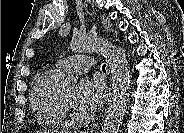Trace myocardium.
<instances>
[{"mask_svg": "<svg viewBox=\"0 0 184 133\" xmlns=\"http://www.w3.org/2000/svg\"><path fill=\"white\" fill-rule=\"evenodd\" d=\"M59 99H60V103H61V106H62V109L64 110V112L68 115H70L71 117H75V113H74V110L73 108L68 104V102L64 99L62 93L60 92V96H59Z\"/></svg>", "mask_w": 184, "mask_h": 133, "instance_id": "myocardium-1", "label": "myocardium"}]
</instances>
